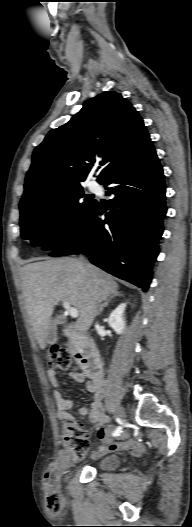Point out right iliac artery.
Segmentation results:
<instances>
[{
  "label": "right iliac artery",
  "mask_w": 192,
  "mask_h": 527,
  "mask_svg": "<svg viewBox=\"0 0 192 527\" xmlns=\"http://www.w3.org/2000/svg\"><path fill=\"white\" fill-rule=\"evenodd\" d=\"M117 420V418H116ZM122 429H123V426L122 425H117L116 426V430L112 433L113 436H117L119 435L121 432H122Z\"/></svg>",
  "instance_id": "1"
}]
</instances>
